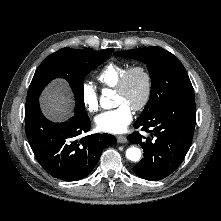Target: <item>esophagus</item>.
Returning a JSON list of instances; mask_svg holds the SVG:
<instances>
[{
    "mask_svg": "<svg viewBox=\"0 0 221 221\" xmlns=\"http://www.w3.org/2000/svg\"><path fill=\"white\" fill-rule=\"evenodd\" d=\"M117 142L118 143H126L127 142V138L124 135H118L117 136Z\"/></svg>",
    "mask_w": 221,
    "mask_h": 221,
    "instance_id": "obj_1",
    "label": "esophagus"
}]
</instances>
